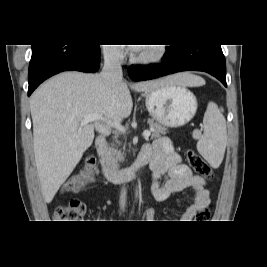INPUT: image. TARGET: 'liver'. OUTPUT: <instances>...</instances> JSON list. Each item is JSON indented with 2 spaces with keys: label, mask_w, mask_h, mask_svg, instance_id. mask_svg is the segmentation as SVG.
I'll list each match as a JSON object with an SVG mask.
<instances>
[{
  "label": "liver",
  "mask_w": 267,
  "mask_h": 267,
  "mask_svg": "<svg viewBox=\"0 0 267 267\" xmlns=\"http://www.w3.org/2000/svg\"><path fill=\"white\" fill-rule=\"evenodd\" d=\"M205 80L191 73H178L156 81L139 82L135 91L161 85L203 86ZM132 98L125 81L107 82L100 74L61 73L31 95L35 162L45 202L50 203L94 140V129L110 133L109 122L120 123L131 114ZM105 120L81 125L85 115Z\"/></svg>",
  "instance_id": "1"
}]
</instances>
